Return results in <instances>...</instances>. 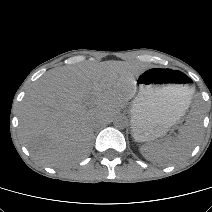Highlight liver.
<instances>
[{
    "mask_svg": "<svg viewBox=\"0 0 212 212\" xmlns=\"http://www.w3.org/2000/svg\"><path fill=\"white\" fill-rule=\"evenodd\" d=\"M143 70L136 63L105 61L47 72L20 107L22 142L35 160L50 167H63L86 157L93 127L126 107ZM87 102L92 107H86Z\"/></svg>",
    "mask_w": 212,
    "mask_h": 212,
    "instance_id": "obj_1",
    "label": "liver"
}]
</instances>
